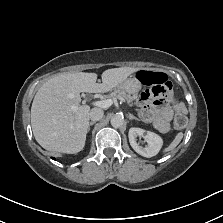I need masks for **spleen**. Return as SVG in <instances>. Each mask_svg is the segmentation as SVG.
I'll return each instance as SVG.
<instances>
[{
  "mask_svg": "<svg viewBox=\"0 0 223 223\" xmlns=\"http://www.w3.org/2000/svg\"><path fill=\"white\" fill-rule=\"evenodd\" d=\"M183 138L182 134H178L177 137L175 138L174 142L171 144V146L169 147V149H174L181 141V139Z\"/></svg>",
  "mask_w": 223,
  "mask_h": 223,
  "instance_id": "3e777b00",
  "label": "spleen"
}]
</instances>
